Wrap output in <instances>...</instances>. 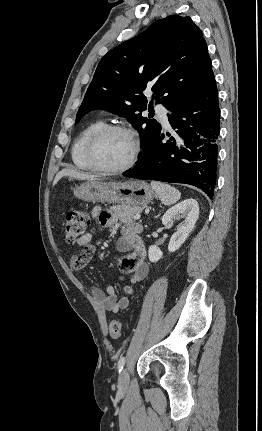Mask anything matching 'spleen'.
<instances>
[{"mask_svg":"<svg viewBox=\"0 0 262 431\" xmlns=\"http://www.w3.org/2000/svg\"><path fill=\"white\" fill-rule=\"evenodd\" d=\"M151 187L164 205L170 206L181 197L179 190L169 184L151 181Z\"/></svg>","mask_w":262,"mask_h":431,"instance_id":"obj_1","label":"spleen"}]
</instances>
